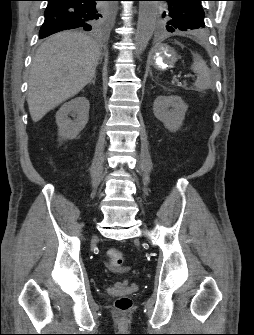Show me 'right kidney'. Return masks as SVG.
<instances>
[{"label": "right kidney", "mask_w": 254, "mask_h": 335, "mask_svg": "<svg viewBox=\"0 0 254 335\" xmlns=\"http://www.w3.org/2000/svg\"><path fill=\"white\" fill-rule=\"evenodd\" d=\"M90 104L86 97H76L64 103L56 113L59 141L74 139L85 128ZM69 115L74 118L71 120Z\"/></svg>", "instance_id": "ca27d5eb"}]
</instances>
